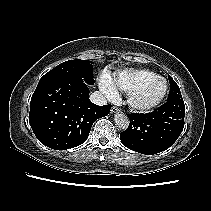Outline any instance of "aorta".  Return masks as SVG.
<instances>
[{
    "label": "aorta",
    "instance_id": "obj_1",
    "mask_svg": "<svg viewBox=\"0 0 211 211\" xmlns=\"http://www.w3.org/2000/svg\"><path fill=\"white\" fill-rule=\"evenodd\" d=\"M114 121L117 127L120 129H126L129 126V119L128 117L123 113H118L114 116Z\"/></svg>",
    "mask_w": 211,
    "mask_h": 211
}]
</instances>
